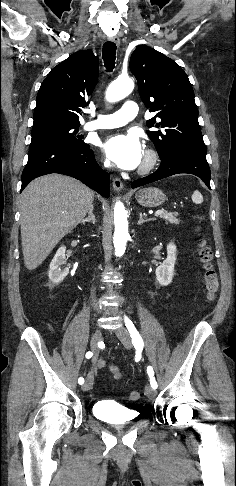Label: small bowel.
<instances>
[{"mask_svg": "<svg viewBox=\"0 0 236 486\" xmlns=\"http://www.w3.org/2000/svg\"><path fill=\"white\" fill-rule=\"evenodd\" d=\"M98 366L100 368H104V367H107L111 372L112 374L114 375V377L116 379H118L120 377V372L118 370V368L114 365H108L105 361L103 360H100L99 363H98Z\"/></svg>", "mask_w": 236, "mask_h": 486, "instance_id": "1", "label": "small bowel"}]
</instances>
